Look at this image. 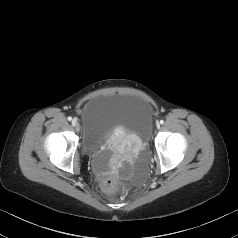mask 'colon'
<instances>
[{
	"label": "colon",
	"mask_w": 238,
	"mask_h": 238,
	"mask_svg": "<svg viewBox=\"0 0 238 238\" xmlns=\"http://www.w3.org/2000/svg\"><path fill=\"white\" fill-rule=\"evenodd\" d=\"M99 184L107 192H112L117 188V180L114 177H102L99 179Z\"/></svg>",
	"instance_id": "1"
}]
</instances>
